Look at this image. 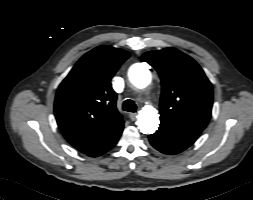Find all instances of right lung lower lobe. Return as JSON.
Instances as JSON below:
<instances>
[{"mask_svg": "<svg viewBox=\"0 0 253 200\" xmlns=\"http://www.w3.org/2000/svg\"><path fill=\"white\" fill-rule=\"evenodd\" d=\"M119 137H120V136H119ZM119 137L116 138V139H115L112 143H110L107 147H105V148H103V149H100V150H97V151H95L94 153L89 154L88 156L97 157V156H100V155L106 153L107 151H109L111 148H113V147L116 145V143H117Z\"/></svg>", "mask_w": 253, "mask_h": 200, "instance_id": "1", "label": "right lung lower lobe"}]
</instances>
